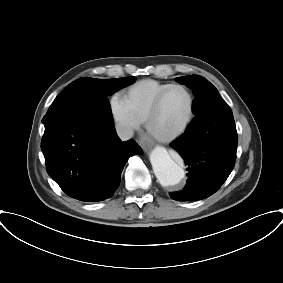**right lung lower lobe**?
Returning a JSON list of instances; mask_svg holds the SVG:
<instances>
[{"label": "right lung lower lobe", "mask_w": 283, "mask_h": 283, "mask_svg": "<svg viewBox=\"0 0 283 283\" xmlns=\"http://www.w3.org/2000/svg\"><path fill=\"white\" fill-rule=\"evenodd\" d=\"M41 149L48 175L68 196L97 202L113 196L128 158L142 152L122 142L104 119H61L45 126Z\"/></svg>", "instance_id": "98d812e1"}]
</instances>
